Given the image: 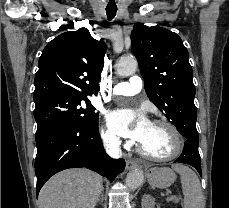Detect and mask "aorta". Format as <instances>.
<instances>
[{"label":"aorta","instance_id":"1","mask_svg":"<svg viewBox=\"0 0 229 208\" xmlns=\"http://www.w3.org/2000/svg\"><path fill=\"white\" fill-rule=\"evenodd\" d=\"M137 61L132 58H123L117 64V73L120 76H130L136 72ZM143 171L140 169L131 170L126 177V186L136 190L143 182Z\"/></svg>","mask_w":229,"mask_h":208}]
</instances>
